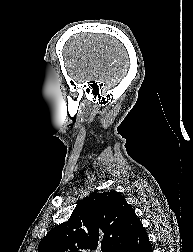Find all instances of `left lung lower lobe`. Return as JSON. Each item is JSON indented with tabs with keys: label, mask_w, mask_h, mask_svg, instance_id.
I'll use <instances>...</instances> for the list:
<instances>
[{
	"label": "left lung lower lobe",
	"mask_w": 193,
	"mask_h": 252,
	"mask_svg": "<svg viewBox=\"0 0 193 252\" xmlns=\"http://www.w3.org/2000/svg\"><path fill=\"white\" fill-rule=\"evenodd\" d=\"M125 252H153L142 223L136 226Z\"/></svg>",
	"instance_id": "0a47b994"
}]
</instances>
